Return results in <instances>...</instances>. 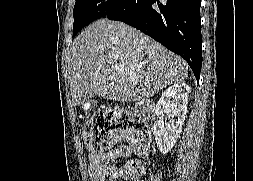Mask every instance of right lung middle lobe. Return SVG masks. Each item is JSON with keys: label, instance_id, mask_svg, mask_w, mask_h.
I'll use <instances>...</instances> for the list:
<instances>
[{"label": "right lung middle lobe", "instance_id": "obj_1", "mask_svg": "<svg viewBox=\"0 0 253 181\" xmlns=\"http://www.w3.org/2000/svg\"><path fill=\"white\" fill-rule=\"evenodd\" d=\"M127 0H76L73 36L90 22L120 9Z\"/></svg>", "mask_w": 253, "mask_h": 181}]
</instances>
